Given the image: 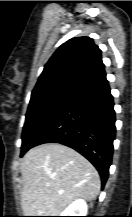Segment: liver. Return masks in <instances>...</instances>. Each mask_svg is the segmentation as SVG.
<instances>
[{"label":"liver","mask_w":132,"mask_h":217,"mask_svg":"<svg viewBox=\"0 0 132 217\" xmlns=\"http://www.w3.org/2000/svg\"><path fill=\"white\" fill-rule=\"evenodd\" d=\"M21 174L24 216H59L76 199L94 200L101 187L95 167L59 143L30 149L22 159Z\"/></svg>","instance_id":"liver-1"}]
</instances>
